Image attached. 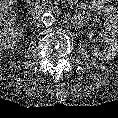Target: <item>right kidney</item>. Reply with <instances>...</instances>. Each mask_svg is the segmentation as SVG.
<instances>
[{"mask_svg": "<svg viewBox=\"0 0 118 118\" xmlns=\"http://www.w3.org/2000/svg\"><path fill=\"white\" fill-rule=\"evenodd\" d=\"M22 37V31L18 28L3 29L0 31V49H9Z\"/></svg>", "mask_w": 118, "mask_h": 118, "instance_id": "1", "label": "right kidney"}]
</instances>
